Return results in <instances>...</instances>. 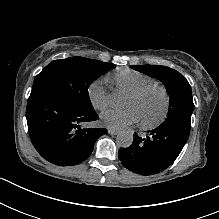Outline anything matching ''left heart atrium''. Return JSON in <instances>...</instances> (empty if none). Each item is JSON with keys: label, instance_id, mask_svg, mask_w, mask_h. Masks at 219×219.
Returning a JSON list of instances; mask_svg holds the SVG:
<instances>
[{"label": "left heart atrium", "instance_id": "39dd6f15", "mask_svg": "<svg viewBox=\"0 0 219 219\" xmlns=\"http://www.w3.org/2000/svg\"><path fill=\"white\" fill-rule=\"evenodd\" d=\"M101 123L110 129H123L140 121V115L134 107L126 109H109L104 111L101 116Z\"/></svg>", "mask_w": 219, "mask_h": 219}]
</instances>
